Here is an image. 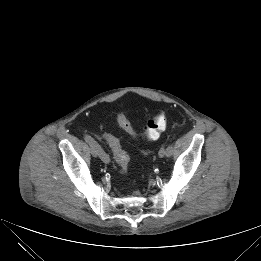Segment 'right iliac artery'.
Returning a JSON list of instances; mask_svg holds the SVG:
<instances>
[{"mask_svg": "<svg viewBox=\"0 0 261 261\" xmlns=\"http://www.w3.org/2000/svg\"><path fill=\"white\" fill-rule=\"evenodd\" d=\"M85 141L92 147H94L104 163H110V156L101 148V146L89 135H84Z\"/></svg>", "mask_w": 261, "mask_h": 261, "instance_id": "82829eb1", "label": "right iliac artery"}]
</instances>
